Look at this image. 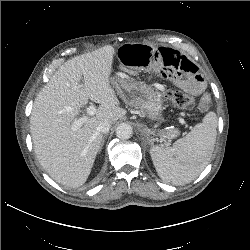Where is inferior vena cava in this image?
<instances>
[{
    "label": "inferior vena cava",
    "instance_id": "602c4592",
    "mask_svg": "<svg viewBox=\"0 0 250 250\" xmlns=\"http://www.w3.org/2000/svg\"><path fill=\"white\" fill-rule=\"evenodd\" d=\"M110 127H111V122L103 121L98 125L97 130L101 133H108Z\"/></svg>",
    "mask_w": 250,
    "mask_h": 250
}]
</instances>
